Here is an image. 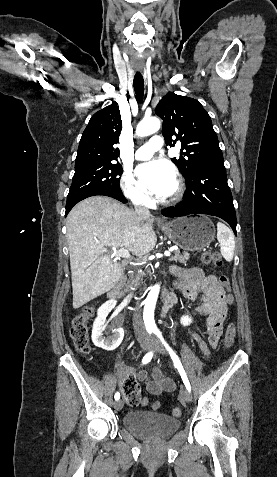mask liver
Returning a JSON list of instances; mask_svg holds the SVG:
<instances>
[{
    "label": "liver",
    "mask_w": 277,
    "mask_h": 477,
    "mask_svg": "<svg viewBox=\"0 0 277 477\" xmlns=\"http://www.w3.org/2000/svg\"><path fill=\"white\" fill-rule=\"evenodd\" d=\"M154 220L105 196L89 197L73 207L66 222L73 308L111 290L120 280L126 261L113 263L109 248H124L136 256L153 250Z\"/></svg>",
    "instance_id": "1"
}]
</instances>
